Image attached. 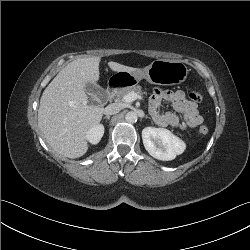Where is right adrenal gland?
Instances as JSON below:
<instances>
[{"instance_id": "right-adrenal-gland-1", "label": "right adrenal gland", "mask_w": 250, "mask_h": 250, "mask_svg": "<svg viewBox=\"0 0 250 250\" xmlns=\"http://www.w3.org/2000/svg\"><path fill=\"white\" fill-rule=\"evenodd\" d=\"M103 119H108V120H109V119H110V116H105Z\"/></svg>"}]
</instances>
